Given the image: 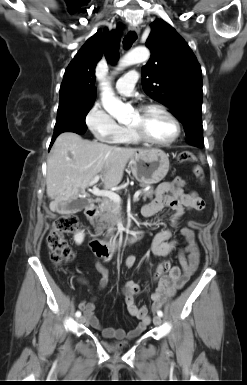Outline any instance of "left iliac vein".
Wrapping results in <instances>:
<instances>
[{"label": "left iliac vein", "instance_id": "left-iliac-vein-1", "mask_svg": "<svg viewBox=\"0 0 247 385\" xmlns=\"http://www.w3.org/2000/svg\"><path fill=\"white\" fill-rule=\"evenodd\" d=\"M153 323H154L156 326L161 325V323H162L161 317H160V316H154V318H153Z\"/></svg>", "mask_w": 247, "mask_h": 385}]
</instances>
